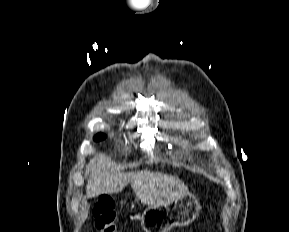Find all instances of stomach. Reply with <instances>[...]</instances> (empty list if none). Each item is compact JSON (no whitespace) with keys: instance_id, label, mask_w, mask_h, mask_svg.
<instances>
[{"instance_id":"obj_1","label":"stomach","mask_w":289,"mask_h":232,"mask_svg":"<svg viewBox=\"0 0 289 232\" xmlns=\"http://www.w3.org/2000/svg\"><path fill=\"white\" fill-rule=\"evenodd\" d=\"M200 204L188 194L163 205L149 206L141 217L145 232H168L175 226H186L198 216Z\"/></svg>"}]
</instances>
